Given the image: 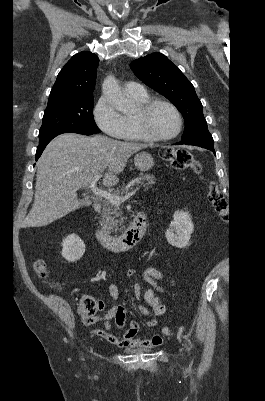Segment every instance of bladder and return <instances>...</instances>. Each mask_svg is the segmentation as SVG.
<instances>
[{
    "label": "bladder",
    "mask_w": 265,
    "mask_h": 401,
    "mask_svg": "<svg viewBox=\"0 0 265 401\" xmlns=\"http://www.w3.org/2000/svg\"><path fill=\"white\" fill-rule=\"evenodd\" d=\"M149 350H151V348H147V349H142V350H135V349H131V348H128L126 351H132V352H143V351H149Z\"/></svg>",
    "instance_id": "bladder-1"
}]
</instances>
